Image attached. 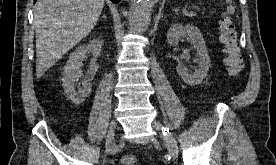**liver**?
I'll list each match as a JSON object with an SVG mask.
<instances>
[{
	"mask_svg": "<svg viewBox=\"0 0 276 165\" xmlns=\"http://www.w3.org/2000/svg\"><path fill=\"white\" fill-rule=\"evenodd\" d=\"M104 0H38L34 7L36 76L41 77L95 27Z\"/></svg>",
	"mask_w": 276,
	"mask_h": 165,
	"instance_id": "obj_1",
	"label": "liver"
}]
</instances>
